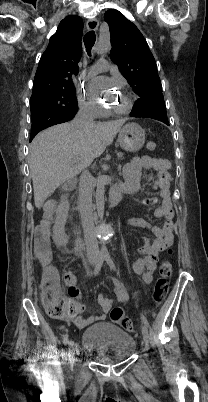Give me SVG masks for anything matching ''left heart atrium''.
<instances>
[{
    "label": "left heart atrium",
    "instance_id": "left-heart-atrium-1",
    "mask_svg": "<svg viewBox=\"0 0 208 402\" xmlns=\"http://www.w3.org/2000/svg\"><path fill=\"white\" fill-rule=\"evenodd\" d=\"M106 82L104 77H96L93 78L89 83L90 91L96 90V88L101 85L102 83ZM92 95V94H91Z\"/></svg>",
    "mask_w": 208,
    "mask_h": 402
}]
</instances>
